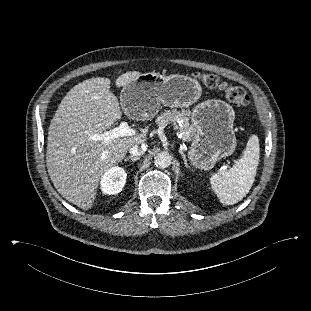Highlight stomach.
Segmentation results:
<instances>
[{"mask_svg": "<svg viewBox=\"0 0 311 311\" xmlns=\"http://www.w3.org/2000/svg\"><path fill=\"white\" fill-rule=\"evenodd\" d=\"M201 95V85L194 78L152 72L141 74L136 81L124 86L120 104L124 112L139 120H149L158 113L161 105L187 108ZM188 115L196 129L187 153L193 167L209 170L235 151L237 140L232 106L219 99L207 100L198 104Z\"/></svg>", "mask_w": 311, "mask_h": 311, "instance_id": "obj_1", "label": "stomach"}]
</instances>
